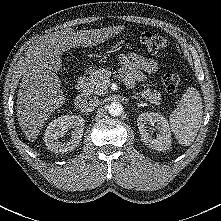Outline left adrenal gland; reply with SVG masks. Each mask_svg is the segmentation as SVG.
I'll list each match as a JSON object with an SVG mask.
<instances>
[{
    "label": "left adrenal gland",
    "mask_w": 221,
    "mask_h": 221,
    "mask_svg": "<svg viewBox=\"0 0 221 221\" xmlns=\"http://www.w3.org/2000/svg\"><path fill=\"white\" fill-rule=\"evenodd\" d=\"M134 99H138V97H133Z\"/></svg>",
    "instance_id": "left-adrenal-gland-1"
}]
</instances>
